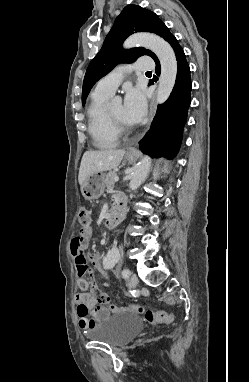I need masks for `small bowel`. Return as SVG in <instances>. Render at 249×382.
I'll use <instances>...</instances> for the list:
<instances>
[{"mask_svg":"<svg viewBox=\"0 0 249 382\" xmlns=\"http://www.w3.org/2000/svg\"><path fill=\"white\" fill-rule=\"evenodd\" d=\"M92 235L93 230L91 228L81 229L79 235L72 239L69 243V248L74 259L83 257L84 251L77 248H85ZM85 260L93 263L94 260L102 259L96 252H88ZM77 285L82 290L81 293L76 295L79 327L82 330L88 331L104 320L110 314V309L98 304L95 300L92 293V286L95 285L94 282H89L85 279L83 282H77Z\"/></svg>","mask_w":249,"mask_h":382,"instance_id":"1","label":"small bowel"}]
</instances>
